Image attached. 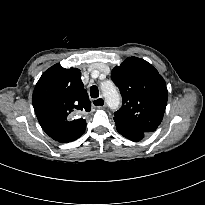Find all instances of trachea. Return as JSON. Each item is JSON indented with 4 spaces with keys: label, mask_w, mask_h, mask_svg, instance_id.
I'll use <instances>...</instances> for the list:
<instances>
[{
    "label": "trachea",
    "mask_w": 205,
    "mask_h": 205,
    "mask_svg": "<svg viewBox=\"0 0 205 205\" xmlns=\"http://www.w3.org/2000/svg\"><path fill=\"white\" fill-rule=\"evenodd\" d=\"M90 96L92 98H97L99 97V90H98V87L97 86H92L90 88Z\"/></svg>",
    "instance_id": "obj_1"
}]
</instances>
